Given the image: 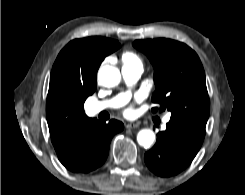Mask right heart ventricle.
Here are the masks:
<instances>
[{
    "instance_id": "right-heart-ventricle-1",
    "label": "right heart ventricle",
    "mask_w": 245,
    "mask_h": 195,
    "mask_svg": "<svg viewBox=\"0 0 245 195\" xmlns=\"http://www.w3.org/2000/svg\"><path fill=\"white\" fill-rule=\"evenodd\" d=\"M122 62L124 64H142L140 58L133 52H125L122 55Z\"/></svg>"
}]
</instances>
